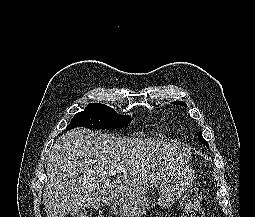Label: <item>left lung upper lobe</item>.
Instances as JSON below:
<instances>
[{
    "label": "left lung upper lobe",
    "mask_w": 255,
    "mask_h": 217,
    "mask_svg": "<svg viewBox=\"0 0 255 217\" xmlns=\"http://www.w3.org/2000/svg\"><path fill=\"white\" fill-rule=\"evenodd\" d=\"M172 103L177 104V105L187 106L186 103L181 102V101H176V102H172ZM198 138H199V140H200L202 143H204L205 145H208V143L203 139L202 133H201V132H200V134L198 135Z\"/></svg>",
    "instance_id": "obj_1"
}]
</instances>
